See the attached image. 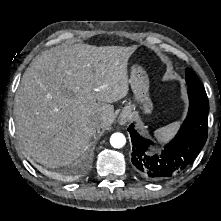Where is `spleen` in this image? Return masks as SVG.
<instances>
[{"mask_svg": "<svg viewBox=\"0 0 221 221\" xmlns=\"http://www.w3.org/2000/svg\"><path fill=\"white\" fill-rule=\"evenodd\" d=\"M179 126L180 122H173L169 125L157 129L154 132V136L160 141L167 140L177 132Z\"/></svg>", "mask_w": 221, "mask_h": 221, "instance_id": "obj_1", "label": "spleen"}]
</instances>
